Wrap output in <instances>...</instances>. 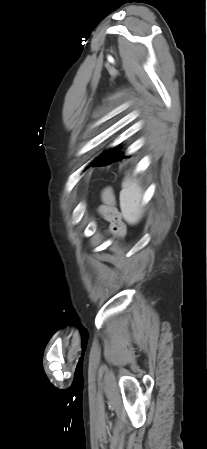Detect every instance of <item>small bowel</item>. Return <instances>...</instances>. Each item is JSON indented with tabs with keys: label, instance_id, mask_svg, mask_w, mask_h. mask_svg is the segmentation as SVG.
Returning <instances> with one entry per match:
<instances>
[{
	"label": "small bowel",
	"instance_id": "obj_1",
	"mask_svg": "<svg viewBox=\"0 0 207 449\" xmlns=\"http://www.w3.org/2000/svg\"><path fill=\"white\" fill-rule=\"evenodd\" d=\"M103 201L104 204L99 208V211L109 223V232L115 235H124L126 228L119 211L115 207L114 197L109 190L104 192Z\"/></svg>",
	"mask_w": 207,
	"mask_h": 449
}]
</instances>
